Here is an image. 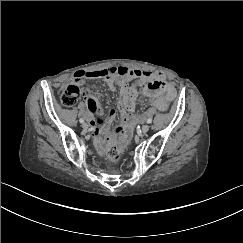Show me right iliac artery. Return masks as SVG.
Segmentation results:
<instances>
[{
  "label": "right iliac artery",
  "instance_id": "82829eb1",
  "mask_svg": "<svg viewBox=\"0 0 243 243\" xmlns=\"http://www.w3.org/2000/svg\"><path fill=\"white\" fill-rule=\"evenodd\" d=\"M79 121H80V123H84V119H82V118Z\"/></svg>",
  "mask_w": 243,
  "mask_h": 243
}]
</instances>
